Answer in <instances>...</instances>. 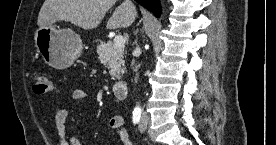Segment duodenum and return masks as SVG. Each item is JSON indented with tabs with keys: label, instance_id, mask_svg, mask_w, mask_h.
Segmentation results:
<instances>
[{
	"label": "duodenum",
	"instance_id": "410a0bca",
	"mask_svg": "<svg viewBox=\"0 0 276 145\" xmlns=\"http://www.w3.org/2000/svg\"><path fill=\"white\" fill-rule=\"evenodd\" d=\"M114 96L119 100H125L128 96V83L126 81H118L112 88Z\"/></svg>",
	"mask_w": 276,
	"mask_h": 145
}]
</instances>
